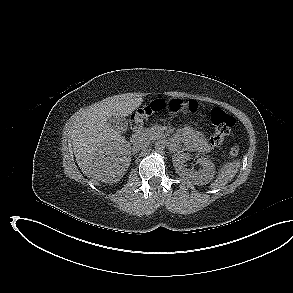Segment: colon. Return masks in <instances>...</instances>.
Here are the masks:
<instances>
[{
	"label": "colon",
	"mask_w": 293,
	"mask_h": 293,
	"mask_svg": "<svg viewBox=\"0 0 293 293\" xmlns=\"http://www.w3.org/2000/svg\"><path fill=\"white\" fill-rule=\"evenodd\" d=\"M164 108L161 101H154L151 104L142 107L131 118V128L137 130L142 127L145 120L153 114L160 113ZM188 108L191 112H195L198 105L195 101L188 102ZM211 122L214 126V133L211 136V144L214 146L220 145L224 138L229 134L235 124V119L220 108H214L211 112ZM241 151L240 144H234L230 148V156L237 157Z\"/></svg>",
	"instance_id": "1"
}]
</instances>
